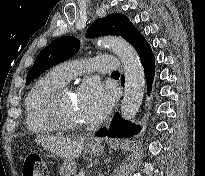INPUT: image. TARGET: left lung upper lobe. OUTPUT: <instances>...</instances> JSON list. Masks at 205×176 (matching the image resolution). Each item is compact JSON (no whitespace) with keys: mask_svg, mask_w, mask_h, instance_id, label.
I'll use <instances>...</instances> for the list:
<instances>
[{"mask_svg":"<svg viewBox=\"0 0 205 176\" xmlns=\"http://www.w3.org/2000/svg\"><path fill=\"white\" fill-rule=\"evenodd\" d=\"M135 26L123 14H109L105 18L97 19L87 30L86 36L97 38L105 35H117L128 41ZM80 43L78 39L64 36L51 42L37 56L34 65L28 72L26 84L31 80L76 54Z\"/></svg>","mask_w":205,"mask_h":176,"instance_id":"obj_1","label":"left lung upper lobe"}]
</instances>
